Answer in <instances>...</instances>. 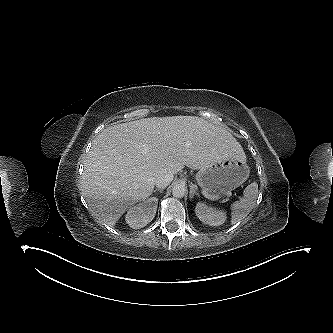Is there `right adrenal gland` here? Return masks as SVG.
Returning <instances> with one entry per match:
<instances>
[{"mask_svg": "<svg viewBox=\"0 0 333 333\" xmlns=\"http://www.w3.org/2000/svg\"><path fill=\"white\" fill-rule=\"evenodd\" d=\"M163 190H164V188H158V189H155L153 192L155 193V192L159 191L160 193H162Z\"/></svg>", "mask_w": 333, "mask_h": 333, "instance_id": "right-adrenal-gland-1", "label": "right adrenal gland"}]
</instances>
